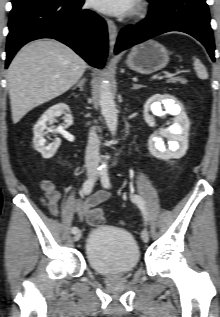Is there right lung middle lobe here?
I'll return each mask as SVG.
<instances>
[{"label":"right lung middle lobe","mask_w":220,"mask_h":317,"mask_svg":"<svg viewBox=\"0 0 220 317\" xmlns=\"http://www.w3.org/2000/svg\"><path fill=\"white\" fill-rule=\"evenodd\" d=\"M38 0H12L13 7Z\"/></svg>","instance_id":"1"}]
</instances>
